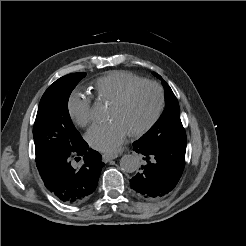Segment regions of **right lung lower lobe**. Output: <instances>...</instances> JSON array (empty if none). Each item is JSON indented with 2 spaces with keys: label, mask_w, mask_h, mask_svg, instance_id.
I'll list each match as a JSON object with an SVG mask.
<instances>
[{
  "label": "right lung lower lobe",
  "mask_w": 246,
  "mask_h": 246,
  "mask_svg": "<svg viewBox=\"0 0 246 246\" xmlns=\"http://www.w3.org/2000/svg\"><path fill=\"white\" fill-rule=\"evenodd\" d=\"M83 158L84 164L76 168L72 161ZM100 153L89 149L82 139L69 152L54 155L40 162L37 168L46 188L66 204H78L87 200L95 191L104 166Z\"/></svg>",
  "instance_id": "1"
}]
</instances>
